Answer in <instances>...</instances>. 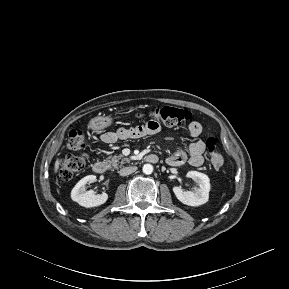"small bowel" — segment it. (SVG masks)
<instances>
[{"mask_svg": "<svg viewBox=\"0 0 289 289\" xmlns=\"http://www.w3.org/2000/svg\"><path fill=\"white\" fill-rule=\"evenodd\" d=\"M161 130L158 122L148 121L144 125L124 128L120 127L115 131L105 132L101 135L104 143L110 144L118 140L138 139L145 136L157 134ZM188 131L191 137L197 138L202 133V126L199 122L193 121L189 124ZM205 143L202 140L192 142L187 151L177 150L167 158V163L172 166H179L186 161L192 166L199 167L204 162Z\"/></svg>", "mask_w": 289, "mask_h": 289, "instance_id": "small-bowel-1", "label": "small bowel"}]
</instances>
